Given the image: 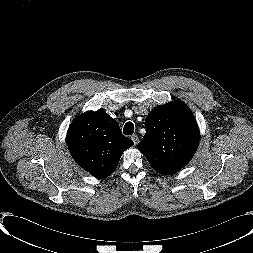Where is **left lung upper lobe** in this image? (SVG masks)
<instances>
[{"label": "left lung upper lobe", "mask_w": 253, "mask_h": 253, "mask_svg": "<svg viewBox=\"0 0 253 253\" xmlns=\"http://www.w3.org/2000/svg\"><path fill=\"white\" fill-rule=\"evenodd\" d=\"M146 134L137 148L152 168L163 175L172 174L193 157L200 134L193 113L181 101L152 110L145 120Z\"/></svg>", "instance_id": "5c2ea615"}]
</instances>
